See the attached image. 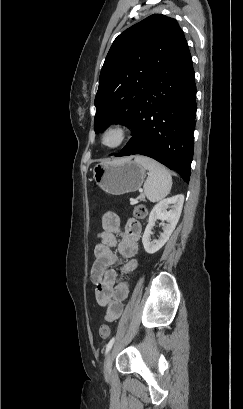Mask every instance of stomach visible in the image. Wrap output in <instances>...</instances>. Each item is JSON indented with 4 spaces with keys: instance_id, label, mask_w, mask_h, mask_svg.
Segmentation results:
<instances>
[{
    "instance_id": "obj_1",
    "label": "stomach",
    "mask_w": 243,
    "mask_h": 409,
    "mask_svg": "<svg viewBox=\"0 0 243 409\" xmlns=\"http://www.w3.org/2000/svg\"><path fill=\"white\" fill-rule=\"evenodd\" d=\"M145 176L146 169L131 158L100 163L93 167V179L96 184L112 195L137 191L142 186Z\"/></svg>"
}]
</instances>
